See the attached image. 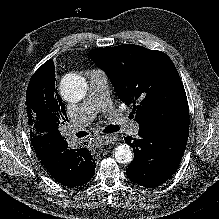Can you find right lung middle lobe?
Masks as SVG:
<instances>
[{
    "label": "right lung middle lobe",
    "mask_w": 219,
    "mask_h": 219,
    "mask_svg": "<svg viewBox=\"0 0 219 219\" xmlns=\"http://www.w3.org/2000/svg\"><path fill=\"white\" fill-rule=\"evenodd\" d=\"M31 77L26 91L27 118L30 134L53 133L61 135L59 128L66 120L65 106L55 93L47 91L42 82Z\"/></svg>",
    "instance_id": "right-lung-middle-lobe-1"
}]
</instances>
